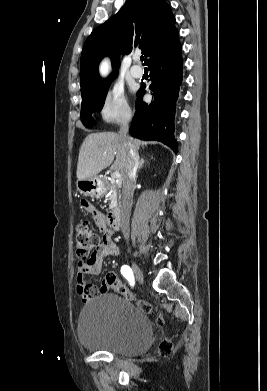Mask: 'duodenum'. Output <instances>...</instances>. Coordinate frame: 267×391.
I'll return each instance as SVG.
<instances>
[{
  "label": "duodenum",
  "instance_id": "1",
  "mask_svg": "<svg viewBox=\"0 0 267 391\" xmlns=\"http://www.w3.org/2000/svg\"><path fill=\"white\" fill-rule=\"evenodd\" d=\"M121 217L122 214L119 208H114L110 211L106 218V225L109 231L116 232L119 229Z\"/></svg>",
  "mask_w": 267,
  "mask_h": 391
}]
</instances>
